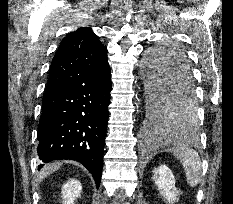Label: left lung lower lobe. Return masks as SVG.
Returning a JSON list of instances; mask_svg holds the SVG:
<instances>
[{
  "label": "left lung lower lobe",
  "mask_w": 233,
  "mask_h": 204,
  "mask_svg": "<svg viewBox=\"0 0 233 204\" xmlns=\"http://www.w3.org/2000/svg\"><path fill=\"white\" fill-rule=\"evenodd\" d=\"M175 69L168 80L162 85L160 102L174 100L178 95L186 92L195 91L192 83V76L189 64L184 60H178L174 64ZM163 120L162 115H158L155 119L148 120V139L152 140L157 134H165L171 131L163 130L160 125Z\"/></svg>",
  "instance_id": "obj_1"
}]
</instances>
